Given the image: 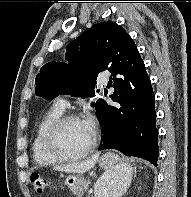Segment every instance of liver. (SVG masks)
Returning a JSON list of instances; mask_svg holds the SVG:
<instances>
[{
	"label": "liver",
	"instance_id": "liver-1",
	"mask_svg": "<svg viewBox=\"0 0 191 197\" xmlns=\"http://www.w3.org/2000/svg\"><path fill=\"white\" fill-rule=\"evenodd\" d=\"M98 157L99 154L96 153L84 161L74 162L67 165H58L55 166L53 169L56 171L82 174L94 167L96 161L98 160Z\"/></svg>",
	"mask_w": 191,
	"mask_h": 197
}]
</instances>
